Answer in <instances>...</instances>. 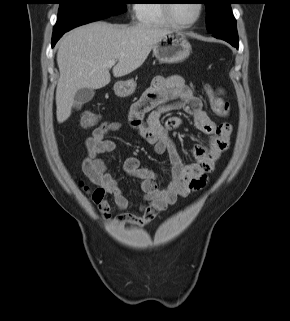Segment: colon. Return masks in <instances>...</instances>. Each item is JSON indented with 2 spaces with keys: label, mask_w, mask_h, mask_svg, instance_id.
Listing matches in <instances>:
<instances>
[{
  "label": "colon",
  "mask_w": 290,
  "mask_h": 321,
  "mask_svg": "<svg viewBox=\"0 0 290 321\" xmlns=\"http://www.w3.org/2000/svg\"><path fill=\"white\" fill-rule=\"evenodd\" d=\"M207 94L211 103L213 111L219 116H227L229 113V108L226 103L222 102L216 92L210 87H207ZM99 121L98 116L93 112H85L82 114L80 119V127L84 130H89L93 128ZM86 191L95 195L98 193V189L90 190L86 188Z\"/></svg>",
  "instance_id": "5ec220e1"
}]
</instances>
